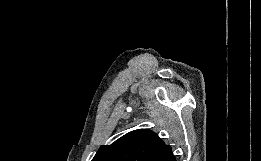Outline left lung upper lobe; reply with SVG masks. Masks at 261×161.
I'll list each match as a JSON object with an SVG mask.
<instances>
[{"label":"left lung upper lobe","instance_id":"left-lung-upper-lobe-1","mask_svg":"<svg viewBox=\"0 0 261 161\" xmlns=\"http://www.w3.org/2000/svg\"><path fill=\"white\" fill-rule=\"evenodd\" d=\"M168 146L154 132L138 129L102 145L92 161H154Z\"/></svg>","mask_w":261,"mask_h":161}]
</instances>
